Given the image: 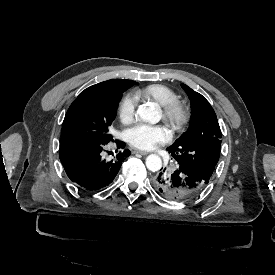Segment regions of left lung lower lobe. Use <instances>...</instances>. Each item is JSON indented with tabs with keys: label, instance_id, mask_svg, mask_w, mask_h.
Instances as JSON below:
<instances>
[{
	"label": "left lung lower lobe",
	"instance_id": "left-lung-lower-lobe-1",
	"mask_svg": "<svg viewBox=\"0 0 275 275\" xmlns=\"http://www.w3.org/2000/svg\"><path fill=\"white\" fill-rule=\"evenodd\" d=\"M208 181L203 180L185 167H179L173 172H160L154 179L155 189L169 200H185L198 195Z\"/></svg>",
	"mask_w": 275,
	"mask_h": 275
}]
</instances>
